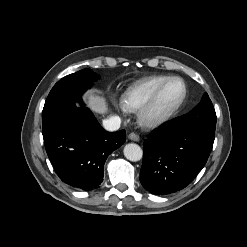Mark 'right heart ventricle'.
I'll return each mask as SVG.
<instances>
[{
  "instance_id": "right-heart-ventricle-1",
  "label": "right heart ventricle",
  "mask_w": 247,
  "mask_h": 247,
  "mask_svg": "<svg viewBox=\"0 0 247 247\" xmlns=\"http://www.w3.org/2000/svg\"><path fill=\"white\" fill-rule=\"evenodd\" d=\"M167 78L168 76L156 75L134 82L122 94V107L130 112L139 110L156 88Z\"/></svg>"
}]
</instances>
